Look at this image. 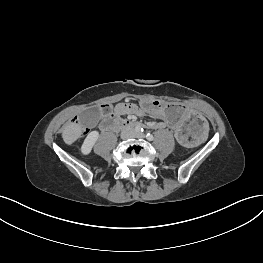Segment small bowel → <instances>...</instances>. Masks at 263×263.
I'll list each match as a JSON object with an SVG mask.
<instances>
[{
    "label": "small bowel",
    "mask_w": 263,
    "mask_h": 263,
    "mask_svg": "<svg viewBox=\"0 0 263 263\" xmlns=\"http://www.w3.org/2000/svg\"><path fill=\"white\" fill-rule=\"evenodd\" d=\"M115 113L118 115H125V114H133L136 116L144 115L141 107H138L137 105L131 103H120L116 105ZM152 127L155 129H163L165 127H170V125L166 119H163L161 122L153 124Z\"/></svg>",
    "instance_id": "obj_1"
}]
</instances>
